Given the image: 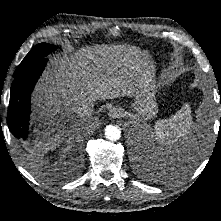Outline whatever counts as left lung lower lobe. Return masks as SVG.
Returning a JSON list of instances; mask_svg holds the SVG:
<instances>
[{
	"mask_svg": "<svg viewBox=\"0 0 221 221\" xmlns=\"http://www.w3.org/2000/svg\"><path fill=\"white\" fill-rule=\"evenodd\" d=\"M192 145L191 144H185L182 145L178 151H174L172 153V156L168 158V165H172V169H178L181 166H183L189 159L190 154L192 153ZM155 170H161L158 166L153 167ZM168 169V167L166 168Z\"/></svg>",
	"mask_w": 221,
	"mask_h": 221,
	"instance_id": "left-lung-lower-lobe-1",
	"label": "left lung lower lobe"
}]
</instances>
